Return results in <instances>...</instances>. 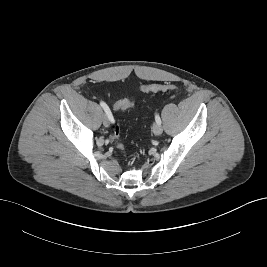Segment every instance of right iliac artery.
Returning <instances> with one entry per match:
<instances>
[{
  "label": "right iliac artery",
  "mask_w": 267,
  "mask_h": 267,
  "mask_svg": "<svg viewBox=\"0 0 267 267\" xmlns=\"http://www.w3.org/2000/svg\"><path fill=\"white\" fill-rule=\"evenodd\" d=\"M100 105L101 107L104 109L106 115L108 116L109 120H113V117H112V114H111V111L109 109V107L107 106V104L103 101L100 102Z\"/></svg>",
  "instance_id": "obj_1"
}]
</instances>
